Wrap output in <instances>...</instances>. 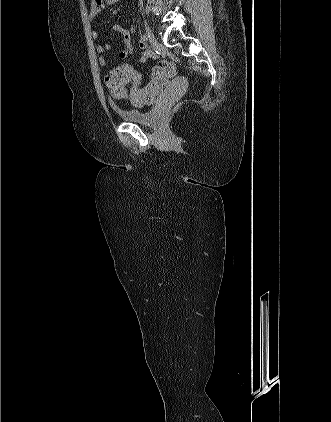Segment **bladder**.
Returning a JSON list of instances; mask_svg holds the SVG:
<instances>
[{"label":"bladder","mask_w":331,"mask_h":422,"mask_svg":"<svg viewBox=\"0 0 331 422\" xmlns=\"http://www.w3.org/2000/svg\"><path fill=\"white\" fill-rule=\"evenodd\" d=\"M164 97H160L156 103L161 102ZM159 108L157 104L147 110L139 109H128L120 110L119 114L127 122L139 124V125H151L153 124L158 116Z\"/></svg>","instance_id":"31cf9c89"}]
</instances>
